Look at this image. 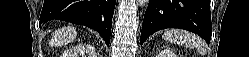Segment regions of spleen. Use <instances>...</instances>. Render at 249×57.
Returning a JSON list of instances; mask_svg holds the SVG:
<instances>
[{
    "label": "spleen",
    "mask_w": 249,
    "mask_h": 57,
    "mask_svg": "<svg viewBox=\"0 0 249 57\" xmlns=\"http://www.w3.org/2000/svg\"><path fill=\"white\" fill-rule=\"evenodd\" d=\"M163 38L171 43L185 47H196L198 50L205 52L204 42L188 31L169 29L163 33Z\"/></svg>",
    "instance_id": "spleen-1"
}]
</instances>
